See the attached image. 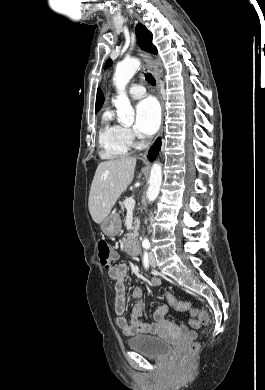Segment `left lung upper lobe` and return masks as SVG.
<instances>
[{"mask_svg":"<svg viewBox=\"0 0 265 390\" xmlns=\"http://www.w3.org/2000/svg\"><path fill=\"white\" fill-rule=\"evenodd\" d=\"M136 36H137L138 44L143 50L155 54L157 53L156 47L152 44V34L147 30V28L144 25L138 24L136 26ZM111 63L112 61L111 59H109L106 62L105 68L110 66Z\"/></svg>","mask_w":265,"mask_h":390,"instance_id":"obj_1","label":"left lung upper lobe"}]
</instances>
